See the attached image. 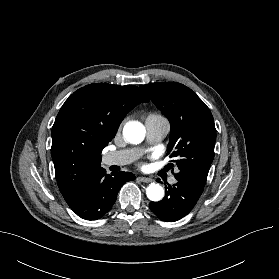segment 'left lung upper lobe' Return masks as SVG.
<instances>
[{"label":"left lung upper lobe","instance_id":"5c2ea615","mask_svg":"<svg viewBox=\"0 0 279 279\" xmlns=\"http://www.w3.org/2000/svg\"><path fill=\"white\" fill-rule=\"evenodd\" d=\"M140 88L170 121L168 154L179 169L175 178L204 189L216 141L209 108L190 88L180 83L158 82Z\"/></svg>","mask_w":279,"mask_h":279}]
</instances>
